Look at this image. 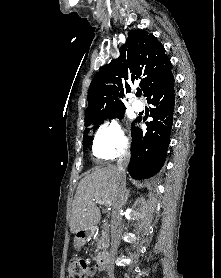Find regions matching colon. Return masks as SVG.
Segmentation results:
<instances>
[{"label": "colon", "mask_w": 221, "mask_h": 278, "mask_svg": "<svg viewBox=\"0 0 221 278\" xmlns=\"http://www.w3.org/2000/svg\"><path fill=\"white\" fill-rule=\"evenodd\" d=\"M89 269V264L85 259L74 258L68 263V273L70 278H86Z\"/></svg>", "instance_id": "1"}]
</instances>
